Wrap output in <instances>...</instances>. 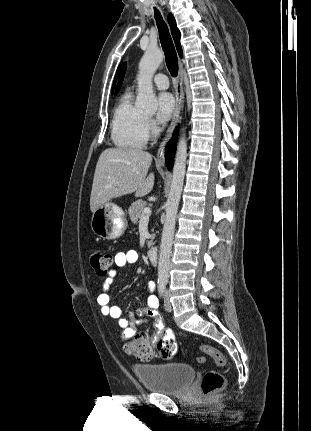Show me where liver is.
Instances as JSON below:
<instances>
[{"mask_svg": "<svg viewBox=\"0 0 311 431\" xmlns=\"http://www.w3.org/2000/svg\"><path fill=\"white\" fill-rule=\"evenodd\" d=\"M152 156L140 148H108L102 152L95 168L90 210L96 212L106 202L134 194L144 198L154 188V172L148 174Z\"/></svg>", "mask_w": 311, "mask_h": 431, "instance_id": "6515ba94", "label": "liver"}]
</instances>
